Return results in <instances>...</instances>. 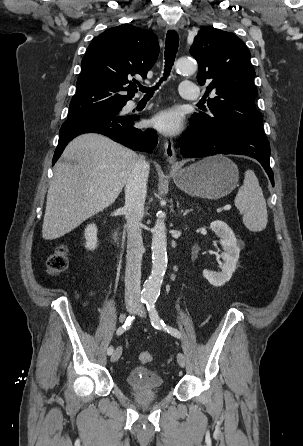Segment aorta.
I'll return each instance as SVG.
<instances>
[{"label": "aorta", "instance_id": "obj_1", "mask_svg": "<svg viewBox=\"0 0 303 446\" xmlns=\"http://www.w3.org/2000/svg\"><path fill=\"white\" fill-rule=\"evenodd\" d=\"M176 69L182 74H192L197 65L191 60L180 58L176 62ZM152 269L145 281L142 297L145 301H156L161 289L162 280L167 269V236L164 219L159 216L153 228L152 236Z\"/></svg>", "mask_w": 303, "mask_h": 446}]
</instances>
